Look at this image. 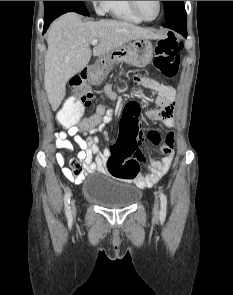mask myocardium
Here are the masks:
<instances>
[{"label":"myocardium","instance_id":"myocardium-1","mask_svg":"<svg viewBox=\"0 0 233 295\" xmlns=\"http://www.w3.org/2000/svg\"><path fill=\"white\" fill-rule=\"evenodd\" d=\"M129 4H130L131 10L134 12V14L144 22H152V21L156 20L159 17V15L161 13V9H162V2L157 1V5H158L157 14L153 18L147 19L141 15V13L138 9V6H137V1H129Z\"/></svg>","mask_w":233,"mask_h":295}]
</instances>
